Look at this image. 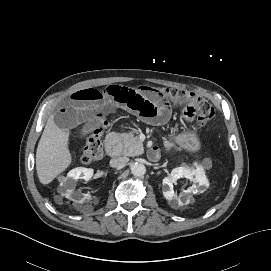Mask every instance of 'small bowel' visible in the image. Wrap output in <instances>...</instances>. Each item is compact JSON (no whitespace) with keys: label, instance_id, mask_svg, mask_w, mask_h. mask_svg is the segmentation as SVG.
Here are the masks:
<instances>
[{"label":"small bowel","instance_id":"1","mask_svg":"<svg viewBox=\"0 0 271 271\" xmlns=\"http://www.w3.org/2000/svg\"><path fill=\"white\" fill-rule=\"evenodd\" d=\"M115 108L154 125L166 123L171 115L170 105L160 90L148 86L128 88L109 85L103 90L86 88L75 91L53 115L48 130L69 136L80 128V133L85 135ZM153 154L156 155L157 150Z\"/></svg>","mask_w":271,"mask_h":271}]
</instances>
